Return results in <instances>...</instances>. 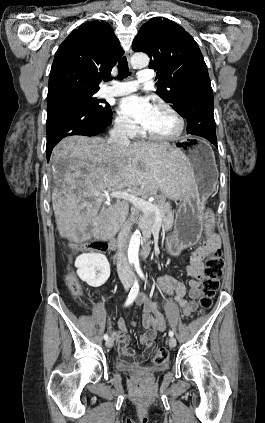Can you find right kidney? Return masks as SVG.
I'll return each instance as SVG.
<instances>
[{"label":"right kidney","mask_w":265,"mask_h":423,"mask_svg":"<svg viewBox=\"0 0 265 423\" xmlns=\"http://www.w3.org/2000/svg\"><path fill=\"white\" fill-rule=\"evenodd\" d=\"M79 278L91 287H100L110 276V265L101 253H84L76 258Z\"/></svg>","instance_id":"1"}]
</instances>
